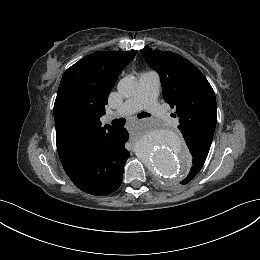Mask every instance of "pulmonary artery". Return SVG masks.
Returning a JSON list of instances; mask_svg holds the SVG:
<instances>
[{
  "instance_id": "1",
  "label": "pulmonary artery",
  "mask_w": 260,
  "mask_h": 260,
  "mask_svg": "<svg viewBox=\"0 0 260 260\" xmlns=\"http://www.w3.org/2000/svg\"><path fill=\"white\" fill-rule=\"evenodd\" d=\"M160 90V77L155 72H145L140 77L138 92L131 99L125 101L114 113L119 117L129 116L141 109H146L161 122L172 123L166 111L157 103Z\"/></svg>"
}]
</instances>
